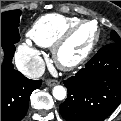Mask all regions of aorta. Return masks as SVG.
I'll list each match as a JSON object with an SVG mask.
<instances>
[{
	"label": "aorta",
	"mask_w": 121,
	"mask_h": 121,
	"mask_svg": "<svg viewBox=\"0 0 121 121\" xmlns=\"http://www.w3.org/2000/svg\"><path fill=\"white\" fill-rule=\"evenodd\" d=\"M53 96L57 100H63L66 97V90L63 86L57 85L53 88Z\"/></svg>",
	"instance_id": "obj_1"
}]
</instances>
